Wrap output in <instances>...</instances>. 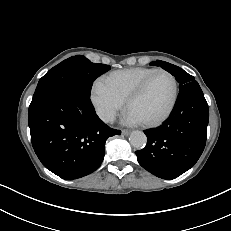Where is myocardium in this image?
Masks as SVG:
<instances>
[{
    "label": "myocardium",
    "instance_id": "f54148a6",
    "mask_svg": "<svg viewBox=\"0 0 231 231\" xmlns=\"http://www.w3.org/2000/svg\"><path fill=\"white\" fill-rule=\"evenodd\" d=\"M158 73H164L166 75H168L172 82H173V97L171 100V103L168 107V109L165 111L164 114H162L160 117L154 119V120H150V121H143L141 122V124L145 127H156L161 125L162 123H164L173 113L175 106L177 104V100H178V95H179V85H178V81L175 77L174 74H172L170 71L162 69V68H158L153 70L149 75H147L138 85L137 87L128 95V97L125 100V107L128 110L129 106L132 104L133 101H135L137 98H139L141 96V94L144 92L146 86L148 85V83L150 82V80L152 79V77Z\"/></svg>",
    "mask_w": 231,
    "mask_h": 231
}]
</instances>
